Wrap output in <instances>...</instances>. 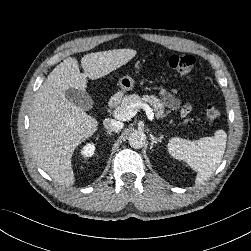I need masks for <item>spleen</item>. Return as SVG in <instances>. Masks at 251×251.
Returning a JSON list of instances; mask_svg holds the SVG:
<instances>
[{"mask_svg":"<svg viewBox=\"0 0 251 251\" xmlns=\"http://www.w3.org/2000/svg\"><path fill=\"white\" fill-rule=\"evenodd\" d=\"M227 141L224 130H218L212 137H204L196 141H190L179 137H173L167 144L169 154L185 161L197 172L196 184L207 180L217 169L223 158Z\"/></svg>","mask_w":251,"mask_h":251,"instance_id":"spleen-1","label":"spleen"}]
</instances>
